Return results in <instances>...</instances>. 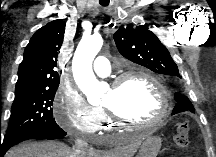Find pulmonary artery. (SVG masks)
Masks as SVG:
<instances>
[{"instance_id": "e3ab8cb5", "label": "pulmonary artery", "mask_w": 216, "mask_h": 157, "mask_svg": "<svg viewBox=\"0 0 216 157\" xmlns=\"http://www.w3.org/2000/svg\"><path fill=\"white\" fill-rule=\"evenodd\" d=\"M93 70L99 76H107L111 72L109 60L105 56H98L94 60Z\"/></svg>"}]
</instances>
